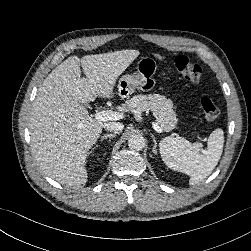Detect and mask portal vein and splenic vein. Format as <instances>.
Masks as SVG:
<instances>
[{
  "instance_id": "portal-vein-and-splenic-vein-1",
  "label": "portal vein and splenic vein",
  "mask_w": 251,
  "mask_h": 251,
  "mask_svg": "<svg viewBox=\"0 0 251 251\" xmlns=\"http://www.w3.org/2000/svg\"><path fill=\"white\" fill-rule=\"evenodd\" d=\"M95 118L100 121H108V120H119V119H122L123 116H122V114H120L118 112H114L112 110H104L101 112H97L95 114ZM152 125H153V128L156 132H158V133L163 132L162 128L158 125V123L153 122Z\"/></svg>"
}]
</instances>
